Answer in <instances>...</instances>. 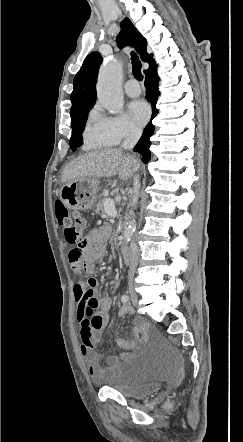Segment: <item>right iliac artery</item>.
<instances>
[{
    "instance_id": "1",
    "label": "right iliac artery",
    "mask_w": 243,
    "mask_h": 442,
    "mask_svg": "<svg viewBox=\"0 0 243 442\" xmlns=\"http://www.w3.org/2000/svg\"><path fill=\"white\" fill-rule=\"evenodd\" d=\"M121 301H122L123 303H127V302L129 301V296H128L127 294L123 295V296L121 297Z\"/></svg>"
}]
</instances>
